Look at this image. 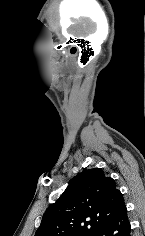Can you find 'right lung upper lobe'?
I'll use <instances>...</instances> for the list:
<instances>
[{"instance_id":"cb5924a9","label":"right lung upper lobe","mask_w":145,"mask_h":236,"mask_svg":"<svg viewBox=\"0 0 145 236\" xmlns=\"http://www.w3.org/2000/svg\"><path fill=\"white\" fill-rule=\"evenodd\" d=\"M124 208L114 179L100 168L86 170L46 210L35 236H93Z\"/></svg>"}]
</instances>
